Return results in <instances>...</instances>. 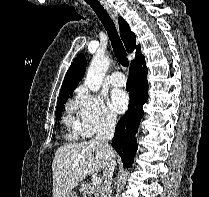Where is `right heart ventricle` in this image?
<instances>
[{"label": "right heart ventricle", "instance_id": "obj_1", "mask_svg": "<svg viewBox=\"0 0 209 197\" xmlns=\"http://www.w3.org/2000/svg\"><path fill=\"white\" fill-rule=\"evenodd\" d=\"M63 121L66 124V126L70 129V136L72 138H77L81 134L79 120L72 115L71 111H69L65 115Z\"/></svg>", "mask_w": 209, "mask_h": 197}]
</instances>
